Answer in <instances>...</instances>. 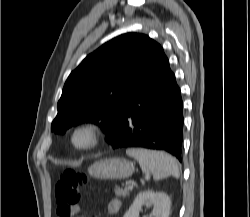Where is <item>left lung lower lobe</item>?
Returning a JSON list of instances; mask_svg holds the SVG:
<instances>
[{"label":"left lung lower lobe","instance_id":"left-lung-lower-lobe-1","mask_svg":"<svg viewBox=\"0 0 250 217\" xmlns=\"http://www.w3.org/2000/svg\"><path fill=\"white\" fill-rule=\"evenodd\" d=\"M183 103L175 75L161 48L148 73L134 89L108 142L114 149L164 150L181 161Z\"/></svg>","mask_w":250,"mask_h":217}]
</instances>
